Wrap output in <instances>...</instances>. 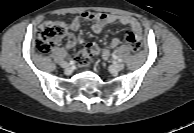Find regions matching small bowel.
<instances>
[{"mask_svg":"<svg viewBox=\"0 0 194 133\" xmlns=\"http://www.w3.org/2000/svg\"><path fill=\"white\" fill-rule=\"evenodd\" d=\"M83 21H92L93 24L91 29L96 34L100 33L108 24L117 23L120 25H126L129 26L130 32H132L139 40L141 39L142 28L140 23L134 17L110 13L85 12L75 17L69 25L70 33L66 37L65 44V48L67 50L73 48L77 44V38L74 33L81 28ZM119 43L120 40L118 38H113L105 47L101 49V54L103 57H108L110 54V49L117 47Z\"/></svg>","mask_w":194,"mask_h":133,"instance_id":"obj_1","label":"small bowel"}]
</instances>
